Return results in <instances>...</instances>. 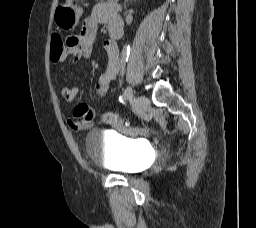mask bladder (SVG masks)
<instances>
[{"label":"bladder","instance_id":"obj_1","mask_svg":"<svg viewBox=\"0 0 256 228\" xmlns=\"http://www.w3.org/2000/svg\"><path fill=\"white\" fill-rule=\"evenodd\" d=\"M85 147L95 163L116 173L137 174L148 165L146 146L134 140L107 137L99 129L87 133Z\"/></svg>","mask_w":256,"mask_h":228}]
</instances>
